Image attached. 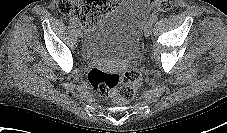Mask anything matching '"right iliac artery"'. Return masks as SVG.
I'll list each match as a JSON object with an SVG mask.
<instances>
[{"mask_svg":"<svg viewBox=\"0 0 227 133\" xmlns=\"http://www.w3.org/2000/svg\"><path fill=\"white\" fill-rule=\"evenodd\" d=\"M70 24L73 26V27H77L78 26V23L75 19H70Z\"/></svg>","mask_w":227,"mask_h":133,"instance_id":"1","label":"right iliac artery"}]
</instances>
